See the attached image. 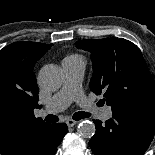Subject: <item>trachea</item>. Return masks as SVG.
Returning a JSON list of instances; mask_svg holds the SVG:
<instances>
[{
  "label": "trachea",
  "mask_w": 155,
  "mask_h": 155,
  "mask_svg": "<svg viewBox=\"0 0 155 155\" xmlns=\"http://www.w3.org/2000/svg\"><path fill=\"white\" fill-rule=\"evenodd\" d=\"M90 116H91V114L88 113V112L79 111V112H77V113H75V114L73 115V119L76 120V121H78V120H80V119L88 118V117H90ZM45 121L51 122V123H55V122L58 121V117L55 116V115L49 114V115H47V116L45 117Z\"/></svg>",
  "instance_id": "trachea-1"
}]
</instances>
